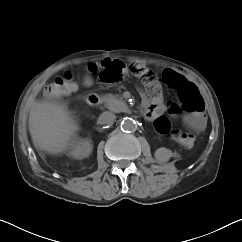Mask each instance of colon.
<instances>
[{
  "instance_id": "colon-1",
  "label": "colon",
  "mask_w": 242,
  "mask_h": 242,
  "mask_svg": "<svg viewBox=\"0 0 242 242\" xmlns=\"http://www.w3.org/2000/svg\"><path fill=\"white\" fill-rule=\"evenodd\" d=\"M88 69L91 73L98 72V79L103 84H115L119 82L124 74V69L116 61H107L100 67L97 63H90ZM131 72L143 80L150 94L156 99L159 98L161 88L156 76L152 71L141 65H132ZM164 81L170 88L178 89V97L183 109L189 113H200L204 104L197 87L183 78L170 71L164 73ZM78 85L70 72L63 76L57 77L45 89L47 97L55 98L67 95L77 90ZM155 128L161 134L170 133L176 140L183 133L177 129L171 128V123L165 116H159L155 120Z\"/></svg>"
}]
</instances>
